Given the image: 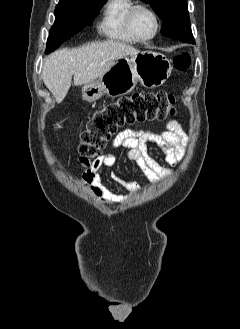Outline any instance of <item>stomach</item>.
Instances as JSON below:
<instances>
[{"label":"stomach","instance_id":"0dacf381","mask_svg":"<svg viewBox=\"0 0 240 329\" xmlns=\"http://www.w3.org/2000/svg\"><path fill=\"white\" fill-rule=\"evenodd\" d=\"M171 62L160 52L151 50L123 57L97 80L82 87V97L94 102L103 95L119 97L134 90L140 82L146 88L163 85L171 75Z\"/></svg>","mask_w":240,"mask_h":329}]
</instances>
